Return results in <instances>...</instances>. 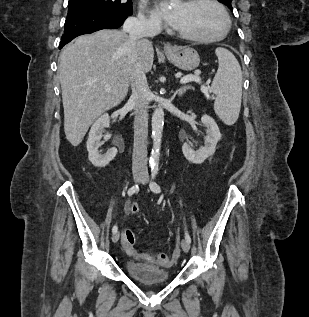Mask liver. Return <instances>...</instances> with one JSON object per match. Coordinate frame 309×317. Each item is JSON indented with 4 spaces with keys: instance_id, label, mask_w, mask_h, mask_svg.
<instances>
[{
    "instance_id": "1",
    "label": "liver",
    "mask_w": 309,
    "mask_h": 317,
    "mask_svg": "<svg viewBox=\"0 0 309 317\" xmlns=\"http://www.w3.org/2000/svg\"><path fill=\"white\" fill-rule=\"evenodd\" d=\"M133 51L137 52L144 72H149L154 59L152 43L147 39L132 43L119 30L105 29L80 36L61 52L58 72L64 131L73 146L82 142L101 114L126 97Z\"/></svg>"
}]
</instances>
